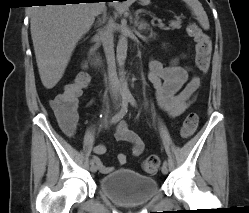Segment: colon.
Returning <instances> with one entry per match:
<instances>
[{
	"label": "colon",
	"mask_w": 249,
	"mask_h": 213,
	"mask_svg": "<svg viewBox=\"0 0 249 213\" xmlns=\"http://www.w3.org/2000/svg\"><path fill=\"white\" fill-rule=\"evenodd\" d=\"M187 32L196 42L195 61L197 68L201 73H206L209 68L211 41L209 37L200 29V27L191 23ZM90 78L86 73H79L73 81L64 86V90L50 101V107L59 119L66 125H73L77 120L76 110L78 98L83 91L88 88ZM198 125V116L196 113H189L184 119L181 126V136L189 137L196 130ZM159 167V158L157 156L147 157L142 164V168L146 173H154Z\"/></svg>",
	"instance_id": "colon-1"
}]
</instances>
